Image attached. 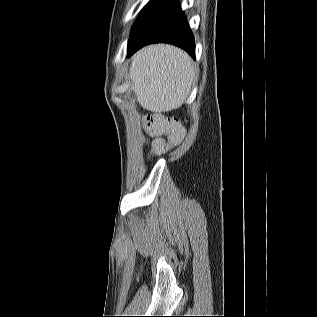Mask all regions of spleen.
Here are the masks:
<instances>
[{
  "instance_id": "1",
  "label": "spleen",
  "mask_w": 317,
  "mask_h": 317,
  "mask_svg": "<svg viewBox=\"0 0 317 317\" xmlns=\"http://www.w3.org/2000/svg\"><path fill=\"white\" fill-rule=\"evenodd\" d=\"M130 79L140 105L153 112L180 107L194 80L187 53L169 45L148 46L132 59Z\"/></svg>"
}]
</instances>
